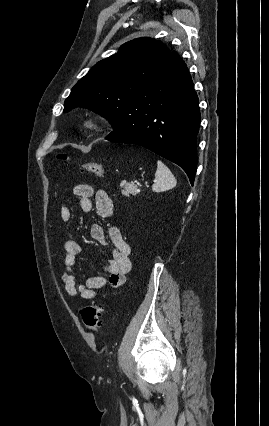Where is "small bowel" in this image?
<instances>
[{"label":"small bowel","instance_id":"small-bowel-1","mask_svg":"<svg viewBox=\"0 0 269 426\" xmlns=\"http://www.w3.org/2000/svg\"><path fill=\"white\" fill-rule=\"evenodd\" d=\"M73 193L78 198L81 211L90 212L95 205L96 212L100 217L110 218L112 216L113 202L104 190H95L91 185L81 183L74 187ZM61 219L64 222H70L73 219L70 206L66 205L61 208ZM90 236L95 242L105 245L106 237L101 225L93 224ZM109 237L113 245V259L104 268L106 275L89 276L82 282L77 280L75 274L76 257L81 252V245L76 239H68L64 242V266L61 280L68 296L79 295L85 300H91L96 298L97 292L105 286L109 285L116 289L123 284L126 274L131 270L130 247L124 240L121 230L116 226L109 229Z\"/></svg>","mask_w":269,"mask_h":426}]
</instances>
